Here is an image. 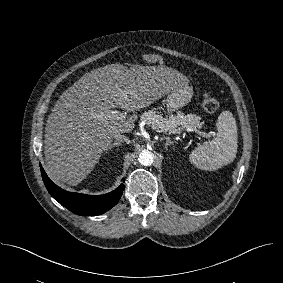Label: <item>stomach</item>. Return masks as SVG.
Masks as SVG:
<instances>
[{
	"label": "stomach",
	"instance_id": "0dacf381",
	"mask_svg": "<svg viewBox=\"0 0 283 283\" xmlns=\"http://www.w3.org/2000/svg\"><path fill=\"white\" fill-rule=\"evenodd\" d=\"M193 97V89L186 80L180 81L167 95L165 100L169 112L187 105Z\"/></svg>",
	"mask_w": 283,
	"mask_h": 283
}]
</instances>
